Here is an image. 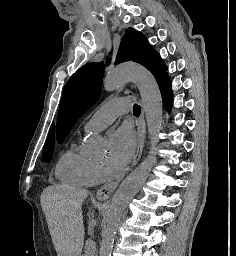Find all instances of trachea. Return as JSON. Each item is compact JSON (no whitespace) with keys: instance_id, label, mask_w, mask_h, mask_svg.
<instances>
[{"instance_id":"1","label":"trachea","mask_w":236,"mask_h":256,"mask_svg":"<svg viewBox=\"0 0 236 256\" xmlns=\"http://www.w3.org/2000/svg\"><path fill=\"white\" fill-rule=\"evenodd\" d=\"M140 112H141V106H139V105H134V106H133V113H134V115H135V116H138V115L140 114Z\"/></svg>"}]
</instances>
